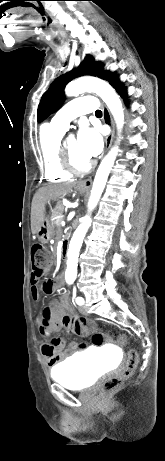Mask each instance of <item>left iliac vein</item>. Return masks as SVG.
Instances as JSON below:
<instances>
[{
  "label": "left iliac vein",
  "instance_id": "4c4485c4",
  "mask_svg": "<svg viewBox=\"0 0 165 461\" xmlns=\"http://www.w3.org/2000/svg\"><path fill=\"white\" fill-rule=\"evenodd\" d=\"M80 312L84 315H87L88 314V311H87V307L85 305L81 306L79 308Z\"/></svg>",
  "mask_w": 165,
  "mask_h": 461
}]
</instances>
